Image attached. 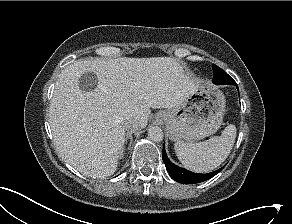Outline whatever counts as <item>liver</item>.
<instances>
[{
	"instance_id": "obj_1",
	"label": "liver",
	"mask_w": 292,
	"mask_h": 224,
	"mask_svg": "<svg viewBox=\"0 0 292 224\" xmlns=\"http://www.w3.org/2000/svg\"><path fill=\"white\" fill-rule=\"evenodd\" d=\"M87 72L97 82L83 92L79 81ZM199 83L172 57L76 61L59 74L50 104L56 149L85 176H111L125 142L121 122L133 118L145 128L150 108L179 107Z\"/></svg>"
}]
</instances>
